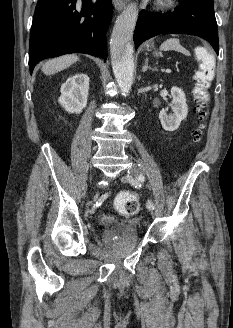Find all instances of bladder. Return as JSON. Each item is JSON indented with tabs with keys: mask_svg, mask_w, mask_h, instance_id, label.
<instances>
[{
	"mask_svg": "<svg viewBox=\"0 0 233 328\" xmlns=\"http://www.w3.org/2000/svg\"><path fill=\"white\" fill-rule=\"evenodd\" d=\"M125 235H126L127 237H130V239H131V243H132L133 245H136V243H137V237H136V235H135L134 233H132V232H130V231H127V232L125 233Z\"/></svg>",
	"mask_w": 233,
	"mask_h": 328,
	"instance_id": "obj_1",
	"label": "bladder"
}]
</instances>
